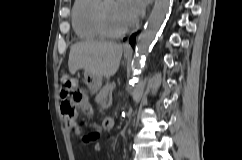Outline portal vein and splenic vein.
<instances>
[{
    "label": "portal vein and splenic vein",
    "instance_id": "1",
    "mask_svg": "<svg viewBox=\"0 0 242 160\" xmlns=\"http://www.w3.org/2000/svg\"><path fill=\"white\" fill-rule=\"evenodd\" d=\"M111 103H112V101L110 100V101L108 102L107 106H109ZM105 105H106V104H104V106H105Z\"/></svg>",
    "mask_w": 242,
    "mask_h": 160
}]
</instances>
